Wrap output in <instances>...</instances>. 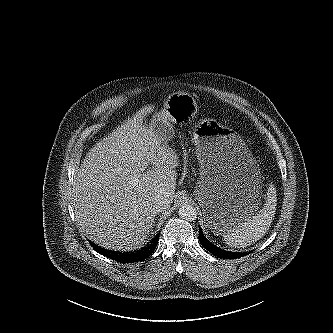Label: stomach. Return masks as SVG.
<instances>
[{"instance_id": "obj_1", "label": "stomach", "mask_w": 333, "mask_h": 333, "mask_svg": "<svg viewBox=\"0 0 333 333\" xmlns=\"http://www.w3.org/2000/svg\"><path fill=\"white\" fill-rule=\"evenodd\" d=\"M198 105L193 96L175 92L163 109L151 115L149 129L163 143L174 137L172 123L193 118ZM200 164L195 196L201 205L199 223L212 236H225L252 216L266 197V184L242 138L214 120H202L193 129Z\"/></svg>"}]
</instances>
